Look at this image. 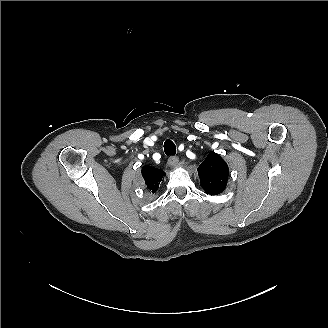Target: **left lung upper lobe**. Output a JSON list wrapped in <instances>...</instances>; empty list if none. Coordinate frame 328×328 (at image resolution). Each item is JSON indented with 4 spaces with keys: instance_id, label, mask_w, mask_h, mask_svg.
<instances>
[{
    "instance_id": "5c2ea615",
    "label": "left lung upper lobe",
    "mask_w": 328,
    "mask_h": 328,
    "mask_svg": "<svg viewBox=\"0 0 328 328\" xmlns=\"http://www.w3.org/2000/svg\"><path fill=\"white\" fill-rule=\"evenodd\" d=\"M197 170L207 194L218 195L226 188L229 168L218 154L210 153Z\"/></svg>"
}]
</instances>
